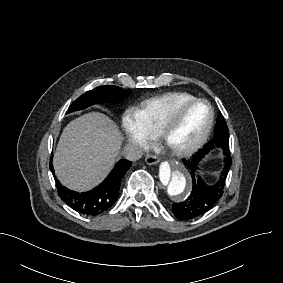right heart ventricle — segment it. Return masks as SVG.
<instances>
[{"instance_id":"1","label":"right heart ventricle","mask_w":283,"mask_h":283,"mask_svg":"<svg viewBox=\"0 0 283 283\" xmlns=\"http://www.w3.org/2000/svg\"><path fill=\"white\" fill-rule=\"evenodd\" d=\"M195 98H197L195 95L188 92H171L162 97L149 99L143 102L137 110L147 125L152 138H155L157 137L158 131V115L162 109L163 101L165 99H171L173 102L168 105L172 104L177 107L176 102H184Z\"/></svg>"}]
</instances>
